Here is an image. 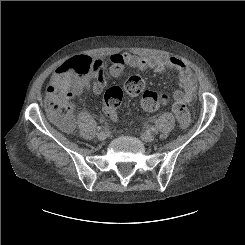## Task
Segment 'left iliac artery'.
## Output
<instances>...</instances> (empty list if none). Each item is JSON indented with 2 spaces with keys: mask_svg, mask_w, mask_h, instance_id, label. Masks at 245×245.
<instances>
[{
  "mask_svg": "<svg viewBox=\"0 0 245 245\" xmlns=\"http://www.w3.org/2000/svg\"><path fill=\"white\" fill-rule=\"evenodd\" d=\"M156 131V128L154 127H151L150 129H148V132H155Z\"/></svg>",
  "mask_w": 245,
  "mask_h": 245,
  "instance_id": "1",
  "label": "left iliac artery"
}]
</instances>
